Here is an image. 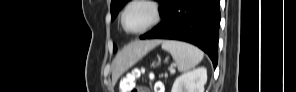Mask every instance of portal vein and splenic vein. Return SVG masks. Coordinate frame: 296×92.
<instances>
[{
	"label": "portal vein and splenic vein",
	"mask_w": 296,
	"mask_h": 92,
	"mask_svg": "<svg viewBox=\"0 0 296 92\" xmlns=\"http://www.w3.org/2000/svg\"><path fill=\"white\" fill-rule=\"evenodd\" d=\"M170 73H175V69L173 67L170 68Z\"/></svg>",
	"instance_id": "18ae733b"
}]
</instances>
